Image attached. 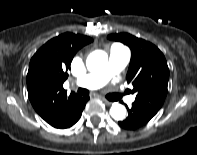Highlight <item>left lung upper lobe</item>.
Here are the masks:
<instances>
[{"label": "left lung upper lobe", "instance_id": "left-lung-upper-lobe-1", "mask_svg": "<svg viewBox=\"0 0 197 155\" xmlns=\"http://www.w3.org/2000/svg\"><path fill=\"white\" fill-rule=\"evenodd\" d=\"M108 39L131 49L127 81L134 86L132 93H137L134 103L155 115L165 100L169 79L163 53L152 43L128 33L111 34Z\"/></svg>", "mask_w": 197, "mask_h": 155}]
</instances>
